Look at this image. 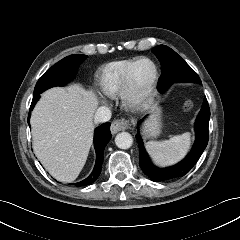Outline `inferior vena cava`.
Wrapping results in <instances>:
<instances>
[{
    "instance_id": "1",
    "label": "inferior vena cava",
    "mask_w": 240,
    "mask_h": 240,
    "mask_svg": "<svg viewBox=\"0 0 240 240\" xmlns=\"http://www.w3.org/2000/svg\"><path fill=\"white\" fill-rule=\"evenodd\" d=\"M111 115V110L105 106H102L96 110L94 119L96 123H103L109 121Z\"/></svg>"
}]
</instances>
